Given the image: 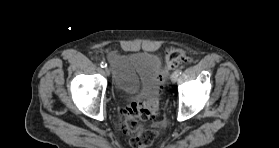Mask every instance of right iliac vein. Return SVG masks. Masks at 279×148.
Wrapping results in <instances>:
<instances>
[{
	"label": "right iliac vein",
	"mask_w": 279,
	"mask_h": 148,
	"mask_svg": "<svg viewBox=\"0 0 279 148\" xmlns=\"http://www.w3.org/2000/svg\"><path fill=\"white\" fill-rule=\"evenodd\" d=\"M104 73L109 76L110 75V69L109 68H105Z\"/></svg>",
	"instance_id": "63e3f726"
}]
</instances>
